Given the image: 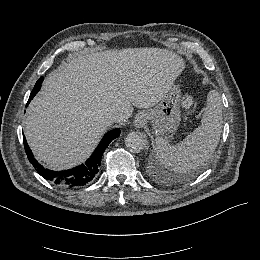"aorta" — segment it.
Returning a JSON list of instances; mask_svg holds the SVG:
<instances>
[{
    "mask_svg": "<svg viewBox=\"0 0 260 260\" xmlns=\"http://www.w3.org/2000/svg\"><path fill=\"white\" fill-rule=\"evenodd\" d=\"M125 145L129 151L139 153L147 146L146 135L140 132H131L125 139Z\"/></svg>",
    "mask_w": 260,
    "mask_h": 260,
    "instance_id": "obj_1",
    "label": "aorta"
}]
</instances>
